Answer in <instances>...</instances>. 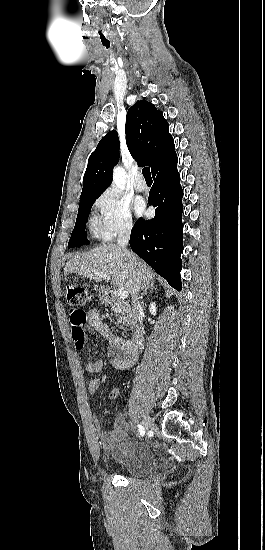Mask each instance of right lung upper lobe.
<instances>
[{
    "instance_id": "cb5924a9",
    "label": "right lung upper lobe",
    "mask_w": 265,
    "mask_h": 550,
    "mask_svg": "<svg viewBox=\"0 0 265 550\" xmlns=\"http://www.w3.org/2000/svg\"><path fill=\"white\" fill-rule=\"evenodd\" d=\"M128 149L139 165L153 171L174 152V140L163 112L145 100L129 108L125 125ZM119 139L109 131L88 159L80 199L99 197L110 185L113 167L119 161Z\"/></svg>"
}]
</instances>
